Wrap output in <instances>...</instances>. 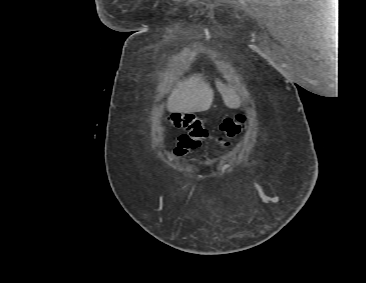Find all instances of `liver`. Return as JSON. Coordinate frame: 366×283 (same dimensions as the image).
I'll return each mask as SVG.
<instances>
[{"mask_svg":"<svg viewBox=\"0 0 366 283\" xmlns=\"http://www.w3.org/2000/svg\"><path fill=\"white\" fill-rule=\"evenodd\" d=\"M217 88L224 104L232 109L240 106V99L234 90L217 81ZM214 92L210 85L200 77H192L178 85L168 98V110L176 113H192L208 110L213 102Z\"/></svg>","mask_w":366,"mask_h":283,"instance_id":"liver-1","label":"liver"}]
</instances>
